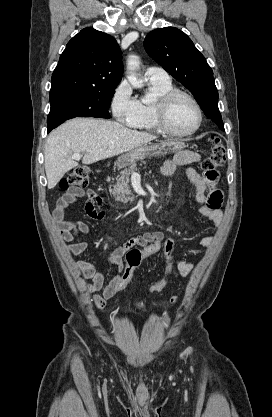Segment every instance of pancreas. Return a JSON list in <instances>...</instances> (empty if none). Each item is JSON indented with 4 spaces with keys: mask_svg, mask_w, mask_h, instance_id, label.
Returning <instances> with one entry per match:
<instances>
[{
    "mask_svg": "<svg viewBox=\"0 0 272 417\" xmlns=\"http://www.w3.org/2000/svg\"><path fill=\"white\" fill-rule=\"evenodd\" d=\"M142 163H145L144 161ZM137 170V164H132L128 167V169L123 170L119 174V178L117 179L116 184L113 185L111 190V194L115 197L116 201L127 203L133 202L135 196L131 192L129 186V176Z\"/></svg>",
    "mask_w": 272,
    "mask_h": 417,
    "instance_id": "obj_1",
    "label": "pancreas"
}]
</instances>
